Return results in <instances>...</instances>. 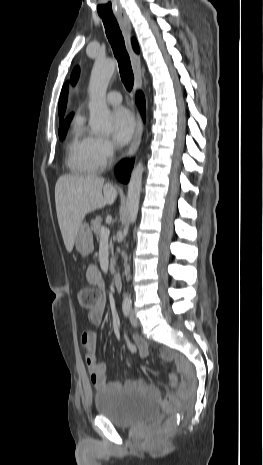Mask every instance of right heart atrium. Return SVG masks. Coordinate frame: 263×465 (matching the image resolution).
<instances>
[{"instance_id": "1", "label": "right heart atrium", "mask_w": 263, "mask_h": 465, "mask_svg": "<svg viewBox=\"0 0 263 465\" xmlns=\"http://www.w3.org/2000/svg\"><path fill=\"white\" fill-rule=\"evenodd\" d=\"M115 146L106 137H96V154L103 165L107 164L114 156Z\"/></svg>"}]
</instances>
